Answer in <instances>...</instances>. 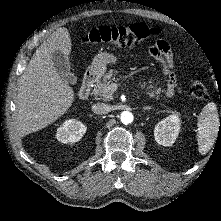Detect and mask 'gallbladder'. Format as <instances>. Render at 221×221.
I'll return each mask as SVG.
<instances>
[{
	"instance_id": "1",
	"label": "gallbladder",
	"mask_w": 221,
	"mask_h": 221,
	"mask_svg": "<svg viewBox=\"0 0 221 221\" xmlns=\"http://www.w3.org/2000/svg\"><path fill=\"white\" fill-rule=\"evenodd\" d=\"M53 63L54 67L65 82L71 85H74L77 82V77L70 71L71 63L67 56L59 51H55L53 53Z\"/></svg>"
}]
</instances>
